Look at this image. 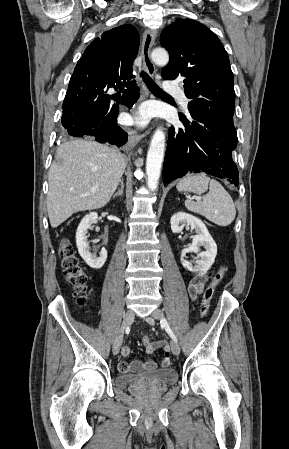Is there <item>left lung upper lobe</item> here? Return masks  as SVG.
I'll list each match as a JSON object with an SVG mask.
<instances>
[{
    "label": "left lung upper lobe",
    "mask_w": 289,
    "mask_h": 449,
    "mask_svg": "<svg viewBox=\"0 0 289 449\" xmlns=\"http://www.w3.org/2000/svg\"><path fill=\"white\" fill-rule=\"evenodd\" d=\"M160 43L170 56L162 77L183 79L190 114L234 126L233 73L218 37L198 21L178 19L162 31Z\"/></svg>",
    "instance_id": "obj_1"
}]
</instances>
